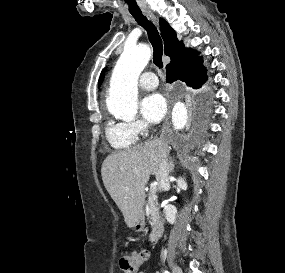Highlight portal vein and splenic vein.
<instances>
[{"label":"portal vein and splenic vein","mask_w":285,"mask_h":273,"mask_svg":"<svg viewBox=\"0 0 285 273\" xmlns=\"http://www.w3.org/2000/svg\"><path fill=\"white\" fill-rule=\"evenodd\" d=\"M156 188H157V183H152L150 189H151L152 191H155Z\"/></svg>","instance_id":"portal-vein-and-splenic-vein-1"}]
</instances>
